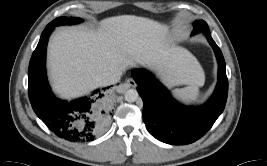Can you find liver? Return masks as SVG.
<instances>
[{"instance_id": "obj_1", "label": "liver", "mask_w": 267, "mask_h": 166, "mask_svg": "<svg viewBox=\"0 0 267 166\" xmlns=\"http://www.w3.org/2000/svg\"><path fill=\"white\" fill-rule=\"evenodd\" d=\"M137 65L154 68L179 85L201 86L205 75L197 60L167 37V26L145 17L103 19L98 29L67 28L49 43L48 67L55 91L65 98L83 95L103 84L110 70Z\"/></svg>"}]
</instances>
